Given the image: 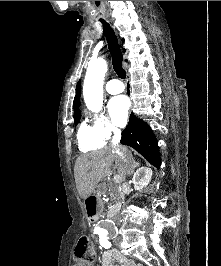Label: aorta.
I'll use <instances>...</instances> for the list:
<instances>
[{"label":"aorta","instance_id":"aorta-1","mask_svg":"<svg viewBox=\"0 0 221 266\" xmlns=\"http://www.w3.org/2000/svg\"><path fill=\"white\" fill-rule=\"evenodd\" d=\"M107 71V62L103 58L91 61L88 65L83 85L85 104L92 112H99L103 104V79ZM110 229V227H106Z\"/></svg>","mask_w":221,"mask_h":266}]
</instances>
